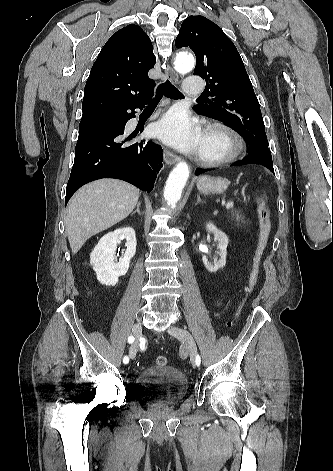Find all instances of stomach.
Returning <instances> with one entry per match:
<instances>
[{"mask_svg":"<svg viewBox=\"0 0 333 471\" xmlns=\"http://www.w3.org/2000/svg\"><path fill=\"white\" fill-rule=\"evenodd\" d=\"M229 182L221 177L202 176L197 181V188L204 194H221L228 188Z\"/></svg>","mask_w":333,"mask_h":471,"instance_id":"1","label":"stomach"}]
</instances>
